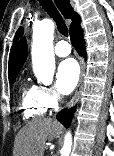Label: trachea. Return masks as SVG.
<instances>
[{
	"instance_id": "3493384b",
	"label": "trachea",
	"mask_w": 114,
	"mask_h": 156,
	"mask_svg": "<svg viewBox=\"0 0 114 156\" xmlns=\"http://www.w3.org/2000/svg\"><path fill=\"white\" fill-rule=\"evenodd\" d=\"M40 5L43 7V9L48 13V15L53 18L57 25L58 31L64 35L65 37H68V29L67 26L60 15L59 11L53 4L52 0H38Z\"/></svg>"
}]
</instances>
